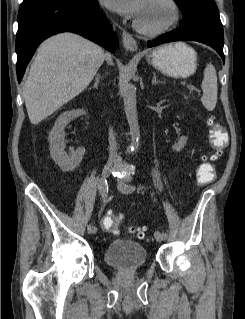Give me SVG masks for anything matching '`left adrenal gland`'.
Returning <instances> with one entry per match:
<instances>
[{
  "label": "left adrenal gland",
  "mask_w": 245,
  "mask_h": 319,
  "mask_svg": "<svg viewBox=\"0 0 245 319\" xmlns=\"http://www.w3.org/2000/svg\"><path fill=\"white\" fill-rule=\"evenodd\" d=\"M151 83H152L153 85H156V84L163 83V82L160 81V80H157L156 73L154 72V73H153V78H152Z\"/></svg>",
  "instance_id": "a2214340"
}]
</instances>
